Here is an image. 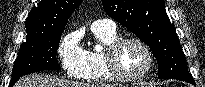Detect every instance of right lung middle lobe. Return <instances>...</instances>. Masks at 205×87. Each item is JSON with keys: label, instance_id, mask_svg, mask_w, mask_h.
<instances>
[{"label": "right lung middle lobe", "instance_id": "1", "mask_svg": "<svg viewBox=\"0 0 205 87\" xmlns=\"http://www.w3.org/2000/svg\"><path fill=\"white\" fill-rule=\"evenodd\" d=\"M62 32L49 35L27 36L20 46L13 66L10 86L23 75L42 70H60L56 59Z\"/></svg>", "mask_w": 205, "mask_h": 87}]
</instances>
